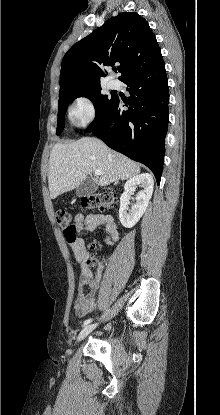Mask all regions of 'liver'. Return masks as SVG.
I'll return each mask as SVG.
<instances>
[{"label":"liver","mask_w":220,"mask_h":415,"mask_svg":"<svg viewBox=\"0 0 220 415\" xmlns=\"http://www.w3.org/2000/svg\"><path fill=\"white\" fill-rule=\"evenodd\" d=\"M96 170L102 174L94 181L100 186H107L137 176L140 165L94 137H83L67 144L56 143L49 159L50 197L55 199L77 188Z\"/></svg>","instance_id":"1"}]
</instances>
